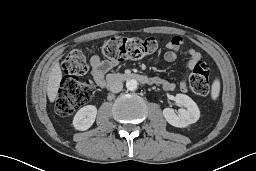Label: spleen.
Masks as SVG:
<instances>
[{
    "mask_svg": "<svg viewBox=\"0 0 256 171\" xmlns=\"http://www.w3.org/2000/svg\"><path fill=\"white\" fill-rule=\"evenodd\" d=\"M220 92V82L219 80H215L212 84L211 97L213 100H216L219 96Z\"/></svg>",
    "mask_w": 256,
    "mask_h": 171,
    "instance_id": "1",
    "label": "spleen"
}]
</instances>
